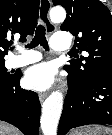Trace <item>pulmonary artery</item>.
Masks as SVG:
<instances>
[{"instance_id":"pulmonary-artery-1","label":"pulmonary artery","mask_w":112,"mask_h":135,"mask_svg":"<svg viewBox=\"0 0 112 135\" xmlns=\"http://www.w3.org/2000/svg\"><path fill=\"white\" fill-rule=\"evenodd\" d=\"M51 48L56 51H66L70 48V38L68 35L63 33H55L50 41ZM21 50V54L13 57L10 60V65L12 67L25 66L34 62L39 61L42 56L36 51H27L22 47H18Z\"/></svg>"}]
</instances>
